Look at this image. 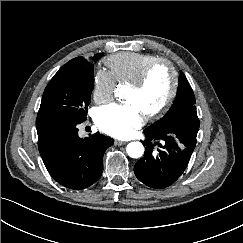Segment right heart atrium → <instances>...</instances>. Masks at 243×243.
I'll return each mask as SVG.
<instances>
[{
  "instance_id": "right-heart-atrium-1",
  "label": "right heart atrium",
  "mask_w": 243,
  "mask_h": 243,
  "mask_svg": "<svg viewBox=\"0 0 243 243\" xmlns=\"http://www.w3.org/2000/svg\"><path fill=\"white\" fill-rule=\"evenodd\" d=\"M116 87V82L109 71L98 69L93 75L92 96L95 101L103 102L108 100Z\"/></svg>"
}]
</instances>
